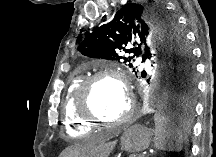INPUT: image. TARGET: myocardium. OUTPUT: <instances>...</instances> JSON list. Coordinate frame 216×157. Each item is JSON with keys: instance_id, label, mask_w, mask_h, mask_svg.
I'll return each instance as SVG.
<instances>
[{"instance_id": "myocardium-1", "label": "myocardium", "mask_w": 216, "mask_h": 157, "mask_svg": "<svg viewBox=\"0 0 216 157\" xmlns=\"http://www.w3.org/2000/svg\"><path fill=\"white\" fill-rule=\"evenodd\" d=\"M101 79H111L122 89L128 103L125 113L114 122H107L97 117L91 109V90L93 85ZM75 109L78 116L91 125H102L107 127L122 126L130 122L135 112L133 95L126 80L118 71L104 70L86 77L79 85L75 97Z\"/></svg>"}]
</instances>
